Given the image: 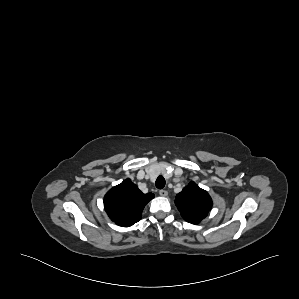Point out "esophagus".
Wrapping results in <instances>:
<instances>
[{
	"instance_id": "1",
	"label": "esophagus",
	"mask_w": 299,
	"mask_h": 299,
	"mask_svg": "<svg viewBox=\"0 0 299 299\" xmlns=\"http://www.w3.org/2000/svg\"><path fill=\"white\" fill-rule=\"evenodd\" d=\"M159 195L162 197H166L168 195V192L166 190L162 189L159 191Z\"/></svg>"
}]
</instances>
